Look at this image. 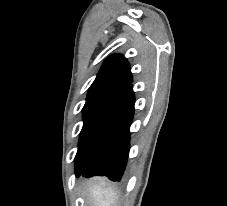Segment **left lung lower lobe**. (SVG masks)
I'll return each mask as SVG.
<instances>
[{"label": "left lung lower lobe", "instance_id": "obj_1", "mask_svg": "<svg viewBox=\"0 0 227 206\" xmlns=\"http://www.w3.org/2000/svg\"><path fill=\"white\" fill-rule=\"evenodd\" d=\"M134 101L130 83L111 101L100 118L88 154L75 165L77 177L103 175L113 181L121 179L129 153Z\"/></svg>", "mask_w": 227, "mask_h": 206}]
</instances>
